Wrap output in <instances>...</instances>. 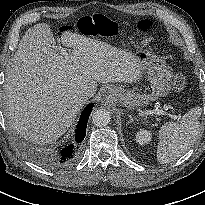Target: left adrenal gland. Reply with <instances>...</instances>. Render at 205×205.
Returning a JSON list of instances; mask_svg holds the SVG:
<instances>
[{
	"label": "left adrenal gland",
	"instance_id": "a2214340",
	"mask_svg": "<svg viewBox=\"0 0 205 205\" xmlns=\"http://www.w3.org/2000/svg\"><path fill=\"white\" fill-rule=\"evenodd\" d=\"M128 117L130 118V122L132 123L134 121V118L131 115H128Z\"/></svg>",
	"mask_w": 205,
	"mask_h": 205
}]
</instances>
